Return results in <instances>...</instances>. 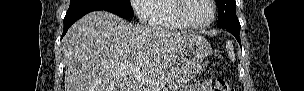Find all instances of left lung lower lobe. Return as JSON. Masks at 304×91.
Segmentation results:
<instances>
[{"mask_svg":"<svg viewBox=\"0 0 304 91\" xmlns=\"http://www.w3.org/2000/svg\"><path fill=\"white\" fill-rule=\"evenodd\" d=\"M225 30H227L228 32H230L237 39V41L239 42V44L241 45L240 36H239L240 27L239 28L230 27V28H225Z\"/></svg>","mask_w":304,"mask_h":91,"instance_id":"left-lung-lower-lobe-1","label":"left lung lower lobe"}]
</instances>
